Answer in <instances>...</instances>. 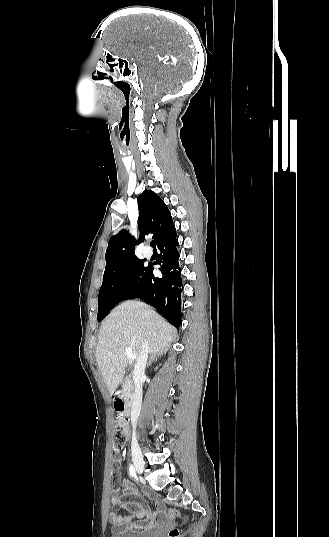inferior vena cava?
<instances>
[{
	"label": "inferior vena cava",
	"instance_id": "inferior-vena-cava-1",
	"mask_svg": "<svg viewBox=\"0 0 329 537\" xmlns=\"http://www.w3.org/2000/svg\"><path fill=\"white\" fill-rule=\"evenodd\" d=\"M149 353V343L145 340L142 343L141 353L137 358V361L134 365L133 371V380L135 384V392L132 400V409H131V424L133 429H136L137 420L140 415L141 404H142V383L141 380L144 377L145 367L147 362V357Z\"/></svg>",
	"mask_w": 329,
	"mask_h": 537
}]
</instances>
